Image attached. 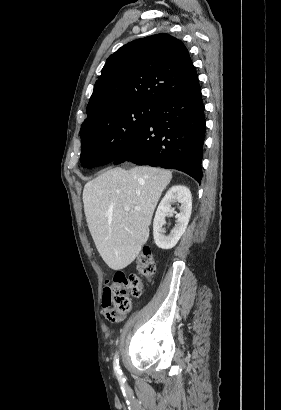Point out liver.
Listing matches in <instances>:
<instances>
[{
    "label": "liver",
    "mask_w": 281,
    "mask_h": 410,
    "mask_svg": "<svg viewBox=\"0 0 281 410\" xmlns=\"http://www.w3.org/2000/svg\"><path fill=\"white\" fill-rule=\"evenodd\" d=\"M171 179L172 172L161 168L117 167L85 184L82 197L87 225L111 269L121 270L139 255L148 240L156 205Z\"/></svg>",
    "instance_id": "obj_1"
}]
</instances>
